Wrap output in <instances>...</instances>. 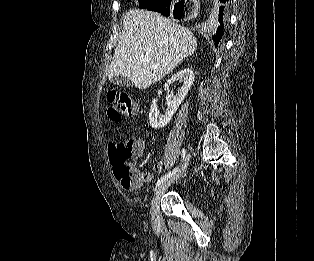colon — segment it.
Wrapping results in <instances>:
<instances>
[{"label": "colon", "instance_id": "colon-1", "mask_svg": "<svg viewBox=\"0 0 314 261\" xmlns=\"http://www.w3.org/2000/svg\"><path fill=\"white\" fill-rule=\"evenodd\" d=\"M109 103L108 116L114 122L131 117L137 110L136 103L123 89H111L107 93ZM140 146L135 138H127L109 147L111 163L115 177L125 189L138 187L143 176L133 166L134 157L139 153Z\"/></svg>", "mask_w": 314, "mask_h": 261}]
</instances>
